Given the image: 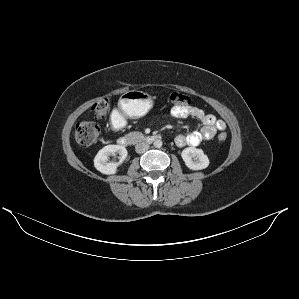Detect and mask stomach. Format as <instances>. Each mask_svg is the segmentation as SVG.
I'll return each mask as SVG.
<instances>
[{
	"label": "stomach",
	"instance_id": "obj_1",
	"mask_svg": "<svg viewBox=\"0 0 299 299\" xmlns=\"http://www.w3.org/2000/svg\"><path fill=\"white\" fill-rule=\"evenodd\" d=\"M152 96L142 91H127L118 102L119 109L130 118H140L153 107Z\"/></svg>",
	"mask_w": 299,
	"mask_h": 299
}]
</instances>
